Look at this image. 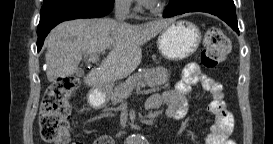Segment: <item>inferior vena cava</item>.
<instances>
[{
	"label": "inferior vena cava",
	"instance_id": "602c4592",
	"mask_svg": "<svg viewBox=\"0 0 273 144\" xmlns=\"http://www.w3.org/2000/svg\"><path fill=\"white\" fill-rule=\"evenodd\" d=\"M131 0H116L115 3V19L118 23H125L128 17Z\"/></svg>",
	"mask_w": 273,
	"mask_h": 144
}]
</instances>
